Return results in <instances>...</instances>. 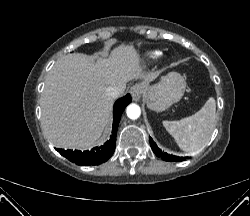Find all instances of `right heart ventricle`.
Listing matches in <instances>:
<instances>
[{
  "label": "right heart ventricle",
  "mask_w": 250,
  "mask_h": 216,
  "mask_svg": "<svg viewBox=\"0 0 250 216\" xmlns=\"http://www.w3.org/2000/svg\"><path fill=\"white\" fill-rule=\"evenodd\" d=\"M160 52L159 51H152L150 53L147 54V57L151 60H155L160 56Z\"/></svg>",
  "instance_id": "right-heart-ventricle-1"
}]
</instances>
